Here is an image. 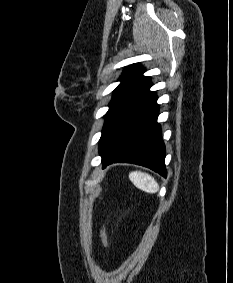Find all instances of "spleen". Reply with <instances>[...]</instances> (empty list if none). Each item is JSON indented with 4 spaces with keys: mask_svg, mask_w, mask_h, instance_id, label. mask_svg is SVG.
I'll return each mask as SVG.
<instances>
[{
    "mask_svg": "<svg viewBox=\"0 0 233 283\" xmlns=\"http://www.w3.org/2000/svg\"><path fill=\"white\" fill-rule=\"evenodd\" d=\"M129 179L138 189L147 193H156L159 190L156 180L147 173L134 171L129 174Z\"/></svg>",
    "mask_w": 233,
    "mask_h": 283,
    "instance_id": "spleen-1",
    "label": "spleen"
}]
</instances>
